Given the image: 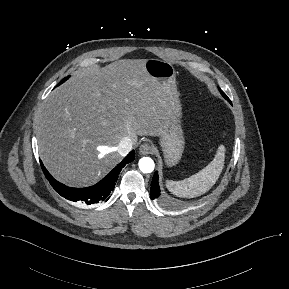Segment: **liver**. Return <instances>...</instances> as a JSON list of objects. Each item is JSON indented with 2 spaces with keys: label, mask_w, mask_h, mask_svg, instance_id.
<instances>
[{
  "label": "liver",
  "mask_w": 289,
  "mask_h": 289,
  "mask_svg": "<svg viewBox=\"0 0 289 289\" xmlns=\"http://www.w3.org/2000/svg\"><path fill=\"white\" fill-rule=\"evenodd\" d=\"M170 117L169 98L144 59L87 68L45 100L35 121L40 157L59 182L90 186L122 160V138L161 136Z\"/></svg>",
  "instance_id": "1"
}]
</instances>
